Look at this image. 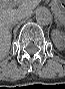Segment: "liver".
Masks as SVG:
<instances>
[{
    "mask_svg": "<svg viewBox=\"0 0 65 89\" xmlns=\"http://www.w3.org/2000/svg\"><path fill=\"white\" fill-rule=\"evenodd\" d=\"M39 3V0L0 1V56L2 58L7 55L11 47V21L22 15L26 17Z\"/></svg>",
    "mask_w": 65,
    "mask_h": 89,
    "instance_id": "liver-1",
    "label": "liver"
}]
</instances>
